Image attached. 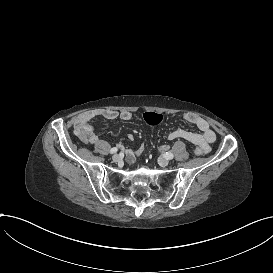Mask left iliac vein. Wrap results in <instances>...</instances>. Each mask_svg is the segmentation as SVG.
Masks as SVG:
<instances>
[{"label":"left iliac vein","instance_id":"1","mask_svg":"<svg viewBox=\"0 0 273 273\" xmlns=\"http://www.w3.org/2000/svg\"><path fill=\"white\" fill-rule=\"evenodd\" d=\"M158 163H159L161 166H167L168 163H169V161H168V159H166V158H164V157H160V158L158 159Z\"/></svg>","mask_w":273,"mask_h":273}]
</instances>
